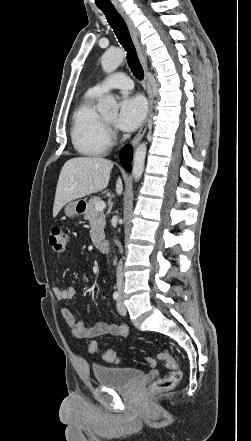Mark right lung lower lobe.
<instances>
[{"instance_id":"obj_1","label":"right lung lower lobe","mask_w":251,"mask_h":441,"mask_svg":"<svg viewBox=\"0 0 251 441\" xmlns=\"http://www.w3.org/2000/svg\"><path fill=\"white\" fill-rule=\"evenodd\" d=\"M120 161L122 166L130 171L131 169V161H132V147L130 145H126L120 152Z\"/></svg>"}]
</instances>
